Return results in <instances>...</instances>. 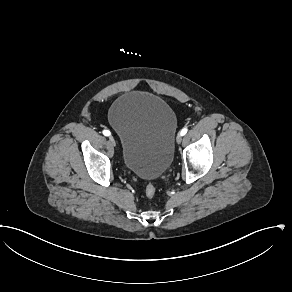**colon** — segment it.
Segmentation results:
<instances>
[{
  "label": "colon",
  "instance_id": "colon-1",
  "mask_svg": "<svg viewBox=\"0 0 292 292\" xmlns=\"http://www.w3.org/2000/svg\"><path fill=\"white\" fill-rule=\"evenodd\" d=\"M144 195L147 200H153L156 195V187L153 183H148L144 189Z\"/></svg>",
  "mask_w": 292,
  "mask_h": 292
}]
</instances>
